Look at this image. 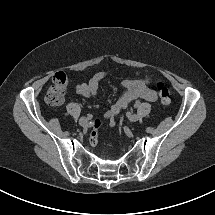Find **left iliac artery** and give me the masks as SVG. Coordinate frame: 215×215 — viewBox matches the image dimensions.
I'll use <instances>...</instances> for the list:
<instances>
[{
	"mask_svg": "<svg viewBox=\"0 0 215 215\" xmlns=\"http://www.w3.org/2000/svg\"><path fill=\"white\" fill-rule=\"evenodd\" d=\"M140 105V102H136L134 107L137 108Z\"/></svg>",
	"mask_w": 215,
	"mask_h": 215,
	"instance_id": "left-iliac-artery-1",
	"label": "left iliac artery"
}]
</instances>
